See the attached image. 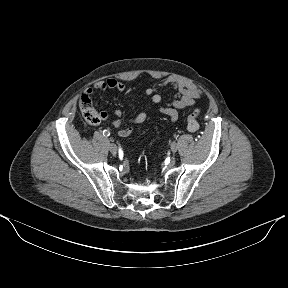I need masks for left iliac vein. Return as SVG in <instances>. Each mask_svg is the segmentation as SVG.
Listing matches in <instances>:
<instances>
[{
	"mask_svg": "<svg viewBox=\"0 0 288 288\" xmlns=\"http://www.w3.org/2000/svg\"><path fill=\"white\" fill-rule=\"evenodd\" d=\"M170 148H171V151H172L173 153H175V152L177 151V149H178L177 143L175 142L174 145H170Z\"/></svg>",
	"mask_w": 288,
	"mask_h": 288,
	"instance_id": "obj_1",
	"label": "left iliac vein"
}]
</instances>
